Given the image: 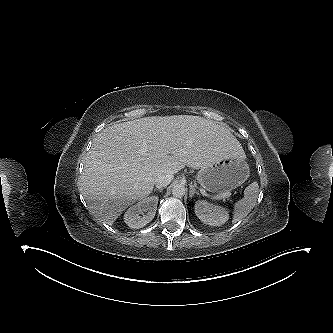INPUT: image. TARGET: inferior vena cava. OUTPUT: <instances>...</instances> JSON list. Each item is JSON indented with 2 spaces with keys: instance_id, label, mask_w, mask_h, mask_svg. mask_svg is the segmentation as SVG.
<instances>
[{
  "instance_id": "602c4592",
  "label": "inferior vena cava",
  "mask_w": 333,
  "mask_h": 333,
  "mask_svg": "<svg viewBox=\"0 0 333 333\" xmlns=\"http://www.w3.org/2000/svg\"><path fill=\"white\" fill-rule=\"evenodd\" d=\"M172 180H173L172 174H159L155 178L154 184L157 188H163L168 186Z\"/></svg>"
}]
</instances>
